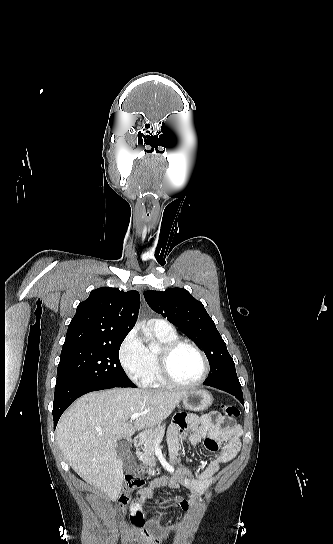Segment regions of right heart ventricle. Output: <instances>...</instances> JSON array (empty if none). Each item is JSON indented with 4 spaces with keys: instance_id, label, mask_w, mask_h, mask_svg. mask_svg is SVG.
<instances>
[{
    "instance_id": "1",
    "label": "right heart ventricle",
    "mask_w": 333,
    "mask_h": 544,
    "mask_svg": "<svg viewBox=\"0 0 333 544\" xmlns=\"http://www.w3.org/2000/svg\"><path fill=\"white\" fill-rule=\"evenodd\" d=\"M153 332L161 344L168 343L178 339V336L175 330L160 331L153 328ZM157 351H158V348L151 347V346L146 347V369H145L143 379L140 383L143 387L163 388L168 385L161 378L158 371Z\"/></svg>"
}]
</instances>
